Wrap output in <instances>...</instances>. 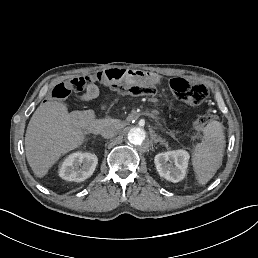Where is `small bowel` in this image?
Returning a JSON list of instances; mask_svg holds the SVG:
<instances>
[{"label": "small bowel", "instance_id": "obj_1", "mask_svg": "<svg viewBox=\"0 0 258 258\" xmlns=\"http://www.w3.org/2000/svg\"><path fill=\"white\" fill-rule=\"evenodd\" d=\"M96 95V87L95 86H90L87 90V92L85 93L84 97L86 99H91Z\"/></svg>", "mask_w": 258, "mask_h": 258}]
</instances>
